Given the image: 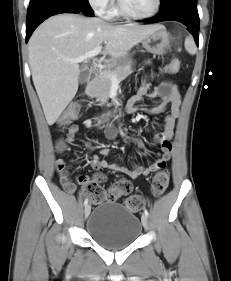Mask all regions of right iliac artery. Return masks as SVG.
Segmentation results:
<instances>
[{
	"instance_id": "82829eb1",
	"label": "right iliac artery",
	"mask_w": 231,
	"mask_h": 281,
	"mask_svg": "<svg viewBox=\"0 0 231 281\" xmlns=\"http://www.w3.org/2000/svg\"><path fill=\"white\" fill-rule=\"evenodd\" d=\"M87 203H88V198H86V199H85V201H84V205L86 206V205H87Z\"/></svg>"
}]
</instances>
